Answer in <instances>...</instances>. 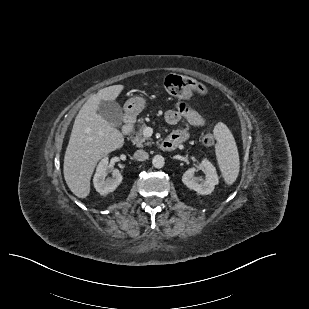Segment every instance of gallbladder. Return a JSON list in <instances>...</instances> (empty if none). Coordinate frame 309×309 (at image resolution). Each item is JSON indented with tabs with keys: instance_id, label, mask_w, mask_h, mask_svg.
<instances>
[{
	"instance_id": "bac80fb5",
	"label": "gallbladder",
	"mask_w": 309,
	"mask_h": 309,
	"mask_svg": "<svg viewBox=\"0 0 309 309\" xmlns=\"http://www.w3.org/2000/svg\"><path fill=\"white\" fill-rule=\"evenodd\" d=\"M97 112L113 126H120L122 123V108L115 101L101 100Z\"/></svg>"
}]
</instances>
